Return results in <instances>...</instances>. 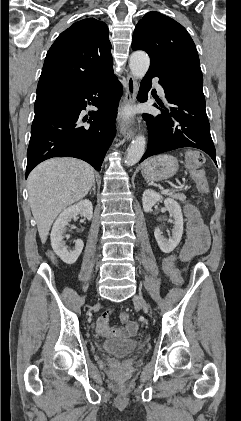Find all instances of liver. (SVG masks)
<instances>
[{"label":"liver","mask_w":241,"mask_h":421,"mask_svg":"<svg viewBox=\"0 0 241 421\" xmlns=\"http://www.w3.org/2000/svg\"><path fill=\"white\" fill-rule=\"evenodd\" d=\"M94 182V169L75 158H53L30 173L29 204L43 244L58 214L85 197Z\"/></svg>","instance_id":"6515ba94"}]
</instances>
